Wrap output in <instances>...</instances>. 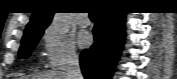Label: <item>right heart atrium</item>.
I'll return each mask as SVG.
<instances>
[{
	"instance_id": "d8ad5b80",
	"label": "right heart atrium",
	"mask_w": 177,
	"mask_h": 79,
	"mask_svg": "<svg viewBox=\"0 0 177 79\" xmlns=\"http://www.w3.org/2000/svg\"><path fill=\"white\" fill-rule=\"evenodd\" d=\"M45 66L51 69H62L78 62L79 55L71 39L57 34L52 27L43 33Z\"/></svg>"
}]
</instances>
